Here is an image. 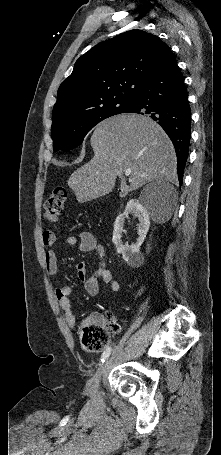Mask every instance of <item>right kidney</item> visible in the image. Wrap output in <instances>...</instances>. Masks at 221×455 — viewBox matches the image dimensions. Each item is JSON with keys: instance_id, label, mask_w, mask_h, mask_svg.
Masks as SVG:
<instances>
[{"instance_id": "obj_1", "label": "right kidney", "mask_w": 221, "mask_h": 455, "mask_svg": "<svg viewBox=\"0 0 221 455\" xmlns=\"http://www.w3.org/2000/svg\"><path fill=\"white\" fill-rule=\"evenodd\" d=\"M133 213L139 221L137 242L133 245H123L121 240L123 225L128 215ZM150 227L149 214L147 210L140 204L137 199H131L125 208L123 214H120L114 222V231L112 241L117 249V252L122 254V258L131 266L136 265L143 259L140 253V247L143 244L147 232Z\"/></svg>"}]
</instances>
